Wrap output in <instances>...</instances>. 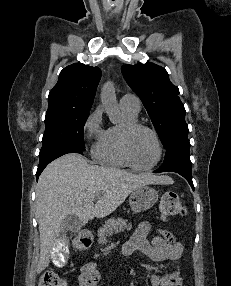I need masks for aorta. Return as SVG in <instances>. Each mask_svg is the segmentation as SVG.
Here are the masks:
<instances>
[{"label": "aorta", "mask_w": 231, "mask_h": 286, "mask_svg": "<svg viewBox=\"0 0 231 286\" xmlns=\"http://www.w3.org/2000/svg\"><path fill=\"white\" fill-rule=\"evenodd\" d=\"M101 102L109 117V120L113 124L120 122V110L117 103L115 88L112 82H107L103 85L101 90Z\"/></svg>", "instance_id": "1"}]
</instances>
